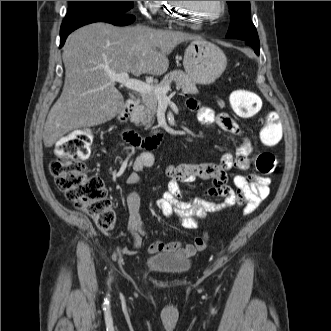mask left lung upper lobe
<instances>
[{"instance_id": "1", "label": "left lung upper lobe", "mask_w": 331, "mask_h": 331, "mask_svg": "<svg viewBox=\"0 0 331 331\" xmlns=\"http://www.w3.org/2000/svg\"><path fill=\"white\" fill-rule=\"evenodd\" d=\"M230 10V26L226 38L243 41L258 40V34L250 19V1H227Z\"/></svg>"}]
</instances>
